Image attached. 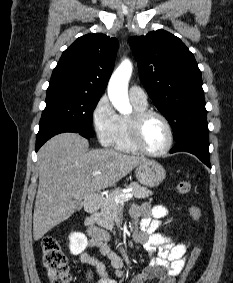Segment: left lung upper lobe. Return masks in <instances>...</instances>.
<instances>
[{
    "instance_id": "1",
    "label": "left lung upper lobe",
    "mask_w": 233,
    "mask_h": 283,
    "mask_svg": "<svg viewBox=\"0 0 233 283\" xmlns=\"http://www.w3.org/2000/svg\"><path fill=\"white\" fill-rule=\"evenodd\" d=\"M141 81L173 129L176 142L193 133H208L201 71L193 54L165 30L129 39Z\"/></svg>"
}]
</instances>
